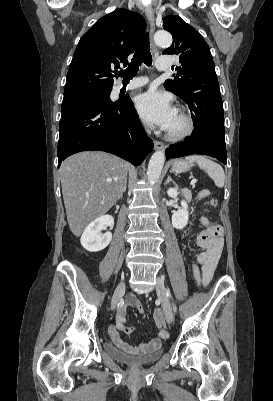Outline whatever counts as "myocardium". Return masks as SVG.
Listing matches in <instances>:
<instances>
[{
	"label": "myocardium",
	"instance_id": "myocardium-1",
	"mask_svg": "<svg viewBox=\"0 0 273 401\" xmlns=\"http://www.w3.org/2000/svg\"><path fill=\"white\" fill-rule=\"evenodd\" d=\"M177 112L185 122V127L179 132H170L167 130L166 137L173 141H181L189 138L195 131V120L184 109L178 108Z\"/></svg>",
	"mask_w": 273,
	"mask_h": 401
}]
</instances>
